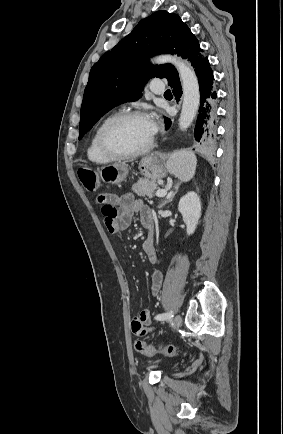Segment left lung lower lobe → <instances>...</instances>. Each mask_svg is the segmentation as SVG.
Here are the masks:
<instances>
[{"mask_svg":"<svg viewBox=\"0 0 283 434\" xmlns=\"http://www.w3.org/2000/svg\"><path fill=\"white\" fill-rule=\"evenodd\" d=\"M195 73L198 77L200 91V107L195 125V139L198 145L209 148L214 145L216 138L217 93L208 58L195 67ZM171 87L175 98L179 100L182 95L180 81L171 85ZM165 124L166 129H168L171 120L166 118Z\"/></svg>","mask_w":283,"mask_h":434,"instance_id":"0a47b994","label":"left lung lower lobe"}]
</instances>
